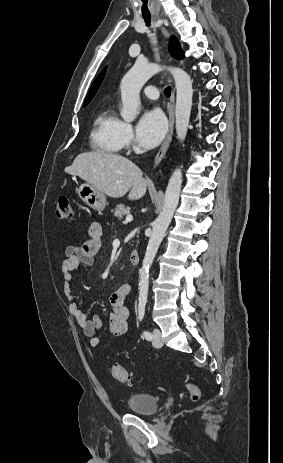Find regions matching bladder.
I'll list each match as a JSON object with an SVG mask.
<instances>
[{
	"instance_id": "obj_1",
	"label": "bladder",
	"mask_w": 283,
	"mask_h": 463,
	"mask_svg": "<svg viewBox=\"0 0 283 463\" xmlns=\"http://www.w3.org/2000/svg\"><path fill=\"white\" fill-rule=\"evenodd\" d=\"M159 405V398L147 393L132 394L126 402L129 412L142 416H153L157 413Z\"/></svg>"
}]
</instances>
